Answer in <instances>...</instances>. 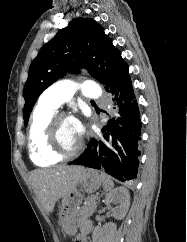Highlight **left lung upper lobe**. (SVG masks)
<instances>
[{
  "mask_svg": "<svg viewBox=\"0 0 187 242\" xmlns=\"http://www.w3.org/2000/svg\"><path fill=\"white\" fill-rule=\"evenodd\" d=\"M81 68L87 69L107 90L129 70L104 28L91 18L73 19L33 60L23 90L25 125L39 95L67 73H80Z\"/></svg>",
  "mask_w": 187,
  "mask_h": 242,
  "instance_id": "obj_1",
  "label": "left lung upper lobe"
}]
</instances>
